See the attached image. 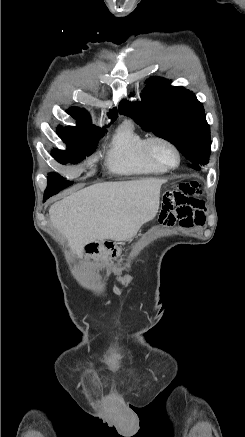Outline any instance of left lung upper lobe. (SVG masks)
<instances>
[{
	"instance_id": "left-lung-upper-lobe-1",
	"label": "left lung upper lobe",
	"mask_w": 245,
	"mask_h": 437,
	"mask_svg": "<svg viewBox=\"0 0 245 437\" xmlns=\"http://www.w3.org/2000/svg\"><path fill=\"white\" fill-rule=\"evenodd\" d=\"M170 83L161 77L148 79L141 101L122 100L119 112L174 144L190 166L200 170L208 164L211 152L210 127L203 105L191 91Z\"/></svg>"
}]
</instances>
